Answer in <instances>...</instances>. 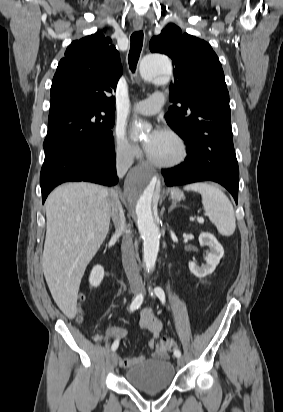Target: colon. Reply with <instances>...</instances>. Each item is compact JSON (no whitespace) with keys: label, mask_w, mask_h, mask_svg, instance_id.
Masks as SVG:
<instances>
[{"label":"colon","mask_w":283,"mask_h":412,"mask_svg":"<svg viewBox=\"0 0 283 412\" xmlns=\"http://www.w3.org/2000/svg\"><path fill=\"white\" fill-rule=\"evenodd\" d=\"M176 343L171 338H163L158 342V353L161 357L167 356L176 348Z\"/></svg>","instance_id":"1"}]
</instances>
